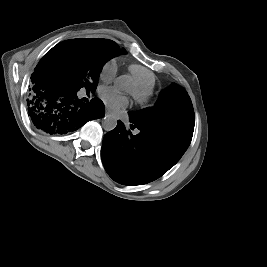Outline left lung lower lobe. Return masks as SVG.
<instances>
[{
  "mask_svg": "<svg viewBox=\"0 0 267 267\" xmlns=\"http://www.w3.org/2000/svg\"><path fill=\"white\" fill-rule=\"evenodd\" d=\"M136 126L140 133L133 135L118 121L117 127L103 139L105 169L115 181L124 184L158 178L180 159L188 146L170 134Z\"/></svg>",
  "mask_w": 267,
  "mask_h": 267,
  "instance_id": "obj_1",
  "label": "left lung lower lobe"
}]
</instances>
